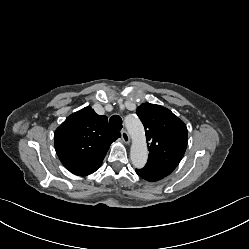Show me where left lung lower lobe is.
I'll return each mask as SVG.
<instances>
[{
    "instance_id": "obj_1",
    "label": "left lung lower lobe",
    "mask_w": 249,
    "mask_h": 249,
    "mask_svg": "<svg viewBox=\"0 0 249 249\" xmlns=\"http://www.w3.org/2000/svg\"><path fill=\"white\" fill-rule=\"evenodd\" d=\"M136 173L140 177H142L143 179H145L147 181H151V182L158 181V180L162 179V177L154 175V174H151L149 172H146L143 169H136Z\"/></svg>"
}]
</instances>
